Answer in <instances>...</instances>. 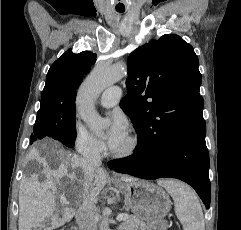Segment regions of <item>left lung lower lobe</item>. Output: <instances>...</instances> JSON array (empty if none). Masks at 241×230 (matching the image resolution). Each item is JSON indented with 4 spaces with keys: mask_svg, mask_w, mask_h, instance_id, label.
I'll return each mask as SVG.
<instances>
[{
    "mask_svg": "<svg viewBox=\"0 0 241 230\" xmlns=\"http://www.w3.org/2000/svg\"><path fill=\"white\" fill-rule=\"evenodd\" d=\"M116 172L143 179L177 178L210 206L209 153L205 136L175 134L160 142L138 139L133 155L108 162Z\"/></svg>",
    "mask_w": 241,
    "mask_h": 230,
    "instance_id": "0a47b994",
    "label": "left lung lower lobe"
}]
</instances>
